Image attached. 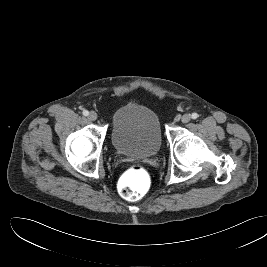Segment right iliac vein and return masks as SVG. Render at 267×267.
<instances>
[{
  "mask_svg": "<svg viewBox=\"0 0 267 267\" xmlns=\"http://www.w3.org/2000/svg\"><path fill=\"white\" fill-rule=\"evenodd\" d=\"M88 118H89L91 121H95V120H97L98 115H97L96 112L91 111V112L89 113V115H88Z\"/></svg>",
  "mask_w": 267,
  "mask_h": 267,
  "instance_id": "right-iliac-vein-1",
  "label": "right iliac vein"
}]
</instances>
